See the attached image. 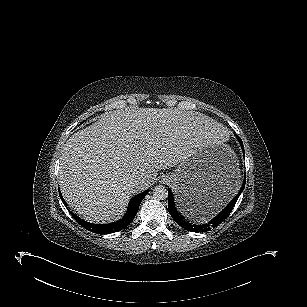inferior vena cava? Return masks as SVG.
<instances>
[{
    "mask_svg": "<svg viewBox=\"0 0 307 307\" xmlns=\"http://www.w3.org/2000/svg\"><path fill=\"white\" fill-rule=\"evenodd\" d=\"M144 183V180L143 179H138V178H135L133 179L130 184L133 188H136L138 187L139 185L143 184Z\"/></svg>",
    "mask_w": 307,
    "mask_h": 307,
    "instance_id": "obj_1",
    "label": "inferior vena cava"
}]
</instances>
